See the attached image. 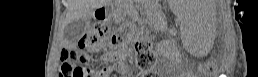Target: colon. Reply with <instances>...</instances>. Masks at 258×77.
Wrapping results in <instances>:
<instances>
[{
  "label": "colon",
  "mask_w": 258,
  "mask_h": 77,
  "mask_svg": "<svg viewBox=\"0 0 258 77\" xmlns=\"http://www.w3.org/2000/svg\"><path fill=\"white\" fill-rule=\"evenodd\" d=\"M109 36L108 27L104 24H96L88 29L80 39L79 49L67 48L61 54L60 73L63 77H90L96 71L92 68L93 61L85 51L99 50ZM136 52V65L142 71L154 68L156 58L151 43L144 39L136 40L134 44ZM216 66L214 59H207L202 64L203 72L207 73Z\"/></svg>",
  "instance_id": "colon-1"
}]
</instances>
